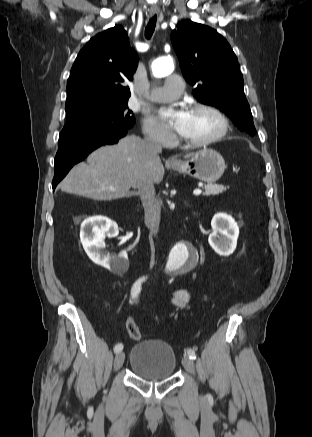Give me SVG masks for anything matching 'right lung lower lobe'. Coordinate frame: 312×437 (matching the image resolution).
I'll list each match as a JSON object with an SVG mask.
<instances>
[{
    "instance_id": "obj_1",
    "label": "right lung lower lobe",
    "mask_w": 312,
    "mask_h": 437,
    "mask_svg": "<svg viewBox=\"0 0 312 437\" xmlns=\"http://www.w3.org/2000/svg\"><path fill=\"white\" fill-rule=\"evenodd\" d=\"M126 133L127 130L98 136L92 139L81 141L67 148L58 149L54 165V178L52 182L53 190L65 177L69 170L75 164L84 160L90 152L102 145L117 143L120 138L126 135Z\"/></svg>"
}]
</instances>
